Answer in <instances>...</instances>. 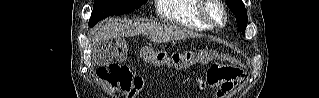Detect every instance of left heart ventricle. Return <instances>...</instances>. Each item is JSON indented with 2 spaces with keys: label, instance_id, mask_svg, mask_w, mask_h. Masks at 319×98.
Returning a JSON list of instances; mask_svg holds the SVG:
<instances>
[{
  "label": "left heart ventricle",
  "instance_id": "left-heart-ventricle-1",
  "mask_svg": "<svg viewBox=\"0 0 319 98\" xmlns=\"http://www.w3.org/2000/svg\"><path fill=\"white\" fill-rule=\"evenodd\" d=\"M210 14H211V16H212V18L214 20H216V21H220L221 20L220 19L221 12H220V10L218 8L212 7L211 10H210Z\"/></svg>",
  "mask_w": 319,
  "mask_h": 98
}]
</instances>
